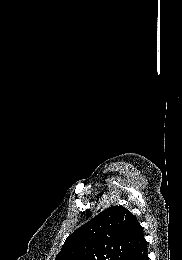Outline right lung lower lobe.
Returning a JSON list of instances; mask_svg holds the SVG:
<instances>
[{
  "label": "right lung lower lobe",
  "mask_w": 182,
  "mask_h": 260,
  "mask_svg": "<svg viewBox=\"0 0 182 260\" xmlns=\"http://www.w3.org/2000/svg\"><path fill=\"white\" fill-rule=\"evenodd\" d=\"M126 260H149L147 243L144 244L140 249L131 254Z\"/></svg>",
  "instance_id": "1"
}]
</instances>
